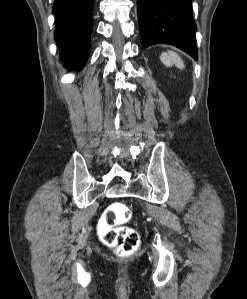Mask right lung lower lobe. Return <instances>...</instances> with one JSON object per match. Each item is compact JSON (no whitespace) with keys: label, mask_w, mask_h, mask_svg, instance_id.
Listing matches in <instances>:
<instances>
[{"label":"right lung lower lobe","mask_w":247,"mask_h":299,"mask_svg":"<svg viewBox=\"0 0 247 299\" xmlns=\"http://www.w3.org/2000/svg\"><path fill=\"white\" fill-rule=\"evenodd\" d=\"M94 0H54L55 40L63 65L79 71L87 61Z\"/></svg>","instance_id":"obj_1"}]
</instances>
